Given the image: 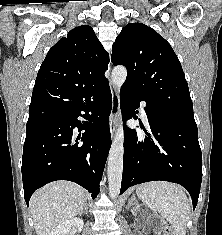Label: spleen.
I'll return each mask as SVG.
<instances>
[{
    "label": "spleen",
    "mask_w": 222,
    "mask_h": 235,
    "mask_svg": "<svg viewBox=\"0 0 222 235\" xmlns=\"http://www.w3.org/2000/svg\"><path fill=\"white\" fill-rule=\"evenodd\" d=\"M136 193L172 225L175 235H186L191 204L180 186L163 181L148 182L138 186Z\"/></svg>",
    "instance_id": "obj_1"
}]
</instances>
